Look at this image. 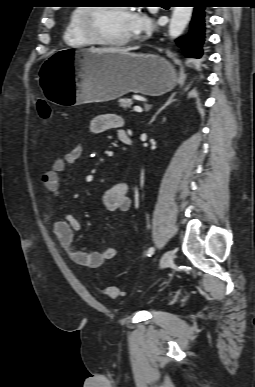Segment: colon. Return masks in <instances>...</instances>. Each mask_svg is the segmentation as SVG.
I'll list each match as a JSON object with an SVG mask.
<instances>
[{
  "label": "colon",
  "instance_id": "5ec220e1",
  "mask_svg": "<svg viewBox=\"0 0 255 387\" xmlns=\"http://www.w3.org/2000/svg\"><path fill=\"white\" fill-rule=\"evenodd\" d=\"M37 110L42 119H49L51 117V108L44 100L37 101ZM104 294L112 299L120 296V289L114 285H108L104 288Z\"/></svg>",
  "mask_w": 255,
  "mask_h": 387
}]
</instances>
